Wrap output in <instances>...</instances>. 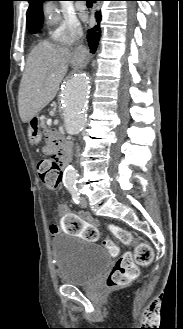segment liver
<instances>
[{"instance_id":"liver-1","label":"liver","mask_w":183,"mask_h":329,"mask_svg":"<svg viewBox=\"0 0 183 329\" xmlns=\"http://www.w3.org/2000/svg\"><path fill=\"white\" fill-rule=\"evenodd\" d=\"M68 63L74 67L80 66L75 52L65 48L56 49L48 41L40 42L31 51L18 94L22 122L31 121L56 96Z\"/></svg>"}]
</instances>
